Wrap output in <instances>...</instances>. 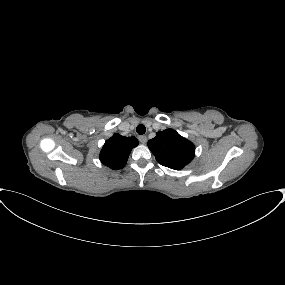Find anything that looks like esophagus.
<instances>
[{"instance_id":"obj_1","label":"esophagus","mask_w":285,"mask_h":285,"mask_svg":"<svg viewBox=\"0 0 285 285\" xmlns=\"http://www.w3.org/2000/svg\"><path fill=\"white\" fill-rule=\"evenodd\" d=\"M138 139L142 144H146L147 142V137L145 135H140Z\"/></svg>"}]
</instances>
